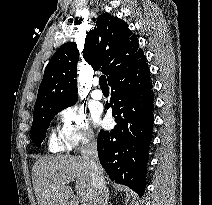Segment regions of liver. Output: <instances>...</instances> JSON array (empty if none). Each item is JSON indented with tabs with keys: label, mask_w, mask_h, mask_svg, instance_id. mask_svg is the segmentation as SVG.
Returning a JSON list of instances; mask_svg holds the SVG:
<instances>
[{
	"label": "liver",
	"mask_w": 212,
	"mask_h": 205,
	"mask_svg": "<svg viewBox=\"0 0 212 205\" xmlns=\"http://www.w3.org/2000/svg\"><path fill=\"white\" fill-rule=\"evenodd\" d=\"M32 172L38 205H78L79 202L92 205L90 170L82 157H43L35 162ZM73 181L76 182V195L64 184Z\"/></svg>",
	"instance_id": "1"
}]
</instances>
